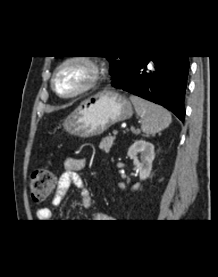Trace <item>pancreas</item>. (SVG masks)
I'll return each mask as SVG.
<instances>
[{
	"label": "pancreas",
	"instance_id": "obj_1",
	"mask_svg": "<svg viewBox=\"0 0 218 277\" xmlns=\"http://www.w3.org/2000/svg\"><path fill=\"white\" fill-rule=\"evenodd\" d=\"M114 141H115V137L107 136V137L102 139V141L99 144V148L103 152L108 153L110 151Z\"/></svg>",
	"mask_w": 218,
	"mask_h": 277
}]
</instances>
